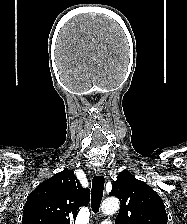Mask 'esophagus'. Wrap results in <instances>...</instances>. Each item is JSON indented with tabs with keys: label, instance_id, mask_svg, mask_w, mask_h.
Instances as JSON below:
<instances>
[{
	"label": "esophagus",
	"instance_id": "obj_1",
	"mask_svg": "<svg viewBox=\"0 0 187 224\" xmlns=\"http://www.w3.org/2000/svg\"><path fill=\"white\" fill-rule=\"evenodd\" d=\"M96 174L97 175H103V174H105V169L102 166L98 167L96 169Z\"/></svg>",
	"mask_w": 187,
	"mask_h": 224
}]
</instances>
